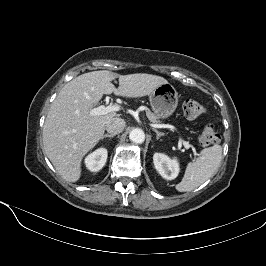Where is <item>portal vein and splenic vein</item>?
<instances>
[{
  "instance_id": "obj_1",
  "label": "portal vein and splenic vein",
  "mask_w": 266,
  "mask_h": 266,
  "mask_svg": "<svg viewBox=\"0 0 266 266\" xmlns=\"http://www.w3.org/2000/svg\"><path fill=\"white\" fill-rule=\"evenodd\" d=\"M121 107L117 104H113V105H108V106H105V105H101V106H98L96 108H93L90 113L91 115L93 116H96V115H105V114H108V113H112V112H118L120 111ZM179 141L184 145V147L186 149H189L191 147V145L182 140L181 138L179 139ZM195 155H197V153L195 152Z\"/></svg>"
}]
</instances>
